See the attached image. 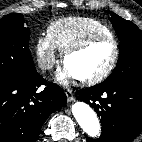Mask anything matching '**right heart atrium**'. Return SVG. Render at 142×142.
<instances>
[{
	"instance_id": "right-heart-atrium-1",
	"label": "right heart atrium",
	"mask_w": 142,
	"mask_h": 142,
	"mask_svg": "<svg viewBox=\"0 0 142 142\" xmlns=\"http://www.w3.org/2000/svg\"><path fill=\"white\" fill-rule=\"evenodd\" d=\"M35 55L39 67L50 70L57 62V50L47 35L39 36L35 41Z\"/></svg>"
}]
</instances>
